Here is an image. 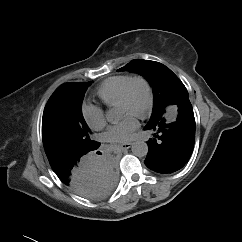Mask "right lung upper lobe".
Listing matches in <instances>:
<instances>
[{
	"label": "right lung upper lobe",
	"instance_id": "cb5924a9",
	"mask_svg": "<svg viewBox=\"0 0 242 242\" xmlns=\"http://www.w3.org/2000/svg\"><path fill=\"white\" fill-rule=\"evenodd\" d=\"M79 83L77 82H73V83H65L63 85H61L54 93L53 95H57V94H60V93H63V92H67V91H70L72 90L73 88H75L76 86H78Z\"/></svg>",
	"mask_w": 242,
	"mask_h": 242
}]
</instances>
